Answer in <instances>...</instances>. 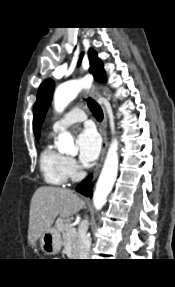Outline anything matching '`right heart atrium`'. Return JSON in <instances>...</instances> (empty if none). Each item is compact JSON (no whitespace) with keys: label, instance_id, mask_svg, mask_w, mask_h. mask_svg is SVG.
<instances>
[{"label":"right heart atrium","instance_id":"right-heart-atrium-1","mask_svg":"<svg viewBox=\"0 0 175 287\" xmlns=\"http://www.w3.org/2000/svg\"><path fill=\"white\" fill-rule=\"evenodd\" d=\"M66 171L68 178H77L80 174V167L74 158L66 157Z\"/></svg>","mask_w":175,"mask_h":287}]
</instances>
